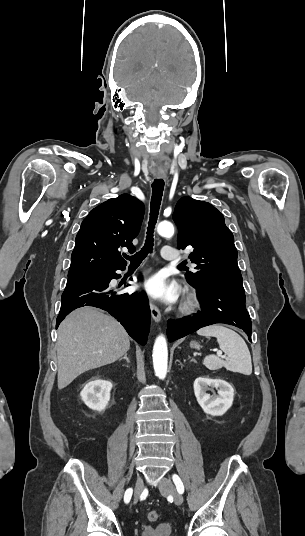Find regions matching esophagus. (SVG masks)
Here are the masks:
<instances>
[{"mask_svg":"<svg viewBox=\"0 0 305 536\" xmlns=\"http://www.w3.org/2000/svg\"><path fill=\"white\" fill-rule=\"evenodd\" d=\"M157 178L166 179L167 176L166 175H159V176H157ZM150 310H151V315H152L153 319L157 323H159L161 321V313H160V310L158 309V307L153 303L152 300H150Z\"/></svg>","mask_w":305,"mask_h":536,"instance_id":"34e87169","label":"esophagus"}]
</instances>
